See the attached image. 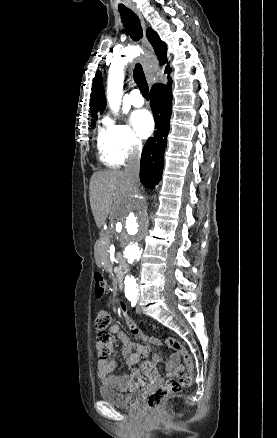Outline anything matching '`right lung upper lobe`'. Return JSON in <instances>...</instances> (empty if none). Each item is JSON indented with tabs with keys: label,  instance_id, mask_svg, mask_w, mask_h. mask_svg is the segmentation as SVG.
<instances>
[{
	"label": "right lung upper lobe",
	"instance_id": "right-lung-upper-lobe-1",
	"mask_svg": "<svg viewBox=\"0 0 277 438\" xmlns=\"http://www.w3.org/2000/svg\"><path fill=\"white\" fill-rule=\"evenodd\" d=\"M147 38L153 46L161 64L166 62V44L160 40L158 34L151 28L147 29ZM166 73H170L169 65L166 66ZM106 107V98L104 94V88L102 85L101 73L97 71L93 83L90 99L91 115L94 119H97L99 113H102Z\"/></svg>",
	"mask_w": 277,
	"mask_h": 438
}]
</instances>
